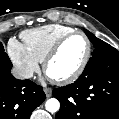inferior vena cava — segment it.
<instances>
[{"label": "inferior vena cava", "mask_w": 119, "mask_h": 119, "mask_svg": "<svg viewBox=\"0 0 119 119\" xmlns=\"http://www.w3.org/2000/svg\"><path fill=\"white\" fill-rule=\"evenodd\" d=\"M12 75L17 79H28L33 76V72L28 69L15 67L12 69Z\"/></svg>", "instance_id": "inferior-vena-cava-1"}]
</instances>
